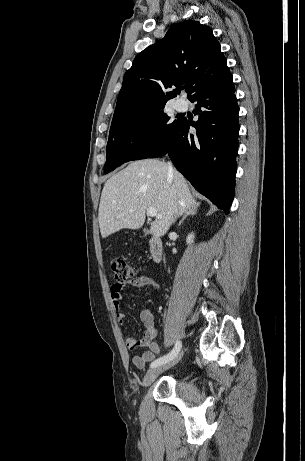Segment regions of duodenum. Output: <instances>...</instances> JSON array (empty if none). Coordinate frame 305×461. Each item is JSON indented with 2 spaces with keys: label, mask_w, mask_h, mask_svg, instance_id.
I'll return each instance as SVG.
<instances>
[{
  "label": "duodenum",
  "mask_w": 305,
  "mask_h": 461,
  "mask_svg": "<svg viewBox=\"0 0 305 461\" xmlns=\"http://www.w3.org/2000/svg\"><path fill=\"white\" fill-rule=\"evenodd\" d=\"M147 242L150 248L151 261L157 263L161 260L163 254L162 241L153 235H148Z\"/></svg>",
  "instance_id": "1"
}]
</instances>
